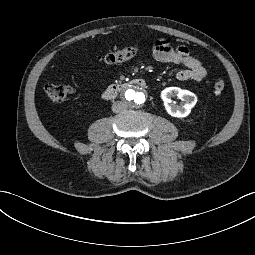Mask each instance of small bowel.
<instances>
[{"instance_id": "small-bowel-1", "label": "small bowel", "mask_w": 255, "mask_h": 255, "mask_svg": "<svg viewBox=\"0 0 255 255\" xmlns=\"http://www.w3.org/2000/svg\"><path fill=\"white\" fill-rule=\"evenodd\" d=\"M150 53L156 61L183 65L185 68L176 74L180 81H200L207 75L203 63L194 57L186 46L174 48L167 40L160 39L152 45Z\"/></svg>"}]
</instances>
